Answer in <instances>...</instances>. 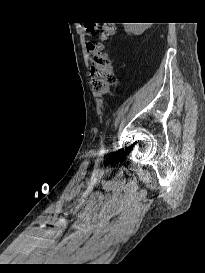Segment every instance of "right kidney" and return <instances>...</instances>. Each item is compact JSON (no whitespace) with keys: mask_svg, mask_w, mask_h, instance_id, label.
Returning <instances> with one entry per match:
<instances>
[{"mask_svg":"<svg viewBox=\"0 0 205 273\" xmlns=\"http://www.w3.org/2000/svg\"><path fill=\"white\" fill-rule=\"evenodd\" d=\"M125 31L134 34H141L148 26L139 25H151L150 23H124Z\"/></svg>","mask_w":205,"mask_h":273,"instance_id":"right-kidney-1","label":"right kidney"}]
</instances>
